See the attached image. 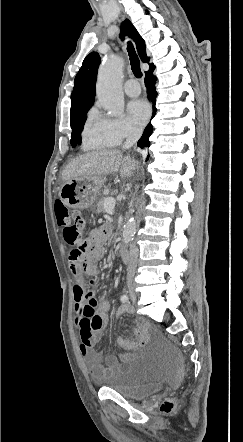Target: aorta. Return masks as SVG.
I'll use <instances>...</instances> for the list:
<instances>
[{"label": "aorta", "instance_id": "aorta-1", "mask_svg": "<svg viewBox=\"0 0 243 442\" xmlns=\"http://www.w3.org/2000/svg\"><path fill=\"white\" fill-rule=\"evenodd\" d=\"M123 62L120 58L111 56L100 67L97 78V95L102 107L112 117H118L124 111V96L122 92ZM137 219L130 217L123 230V240L130 243L136 233Z\"/></svg>", "mask_w": 243, "mask_h": 442}]
</instances>
